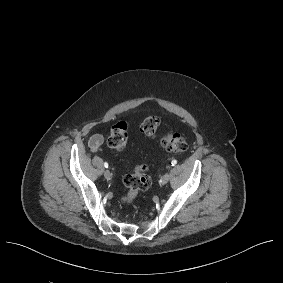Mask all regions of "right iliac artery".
<instances>
[{
  "mask_svg": "<svg viewBox=\"0 0 283 283\" xmlns=\"http://www.w3.org/2000/svg\"><path fill=\"white\" fill-rule=\"evenodd\" d=\"M104 167L108 168V163L107 162L104 163Z\"/></svg>",
  "mask_w": 283,
  "mask_h": 283,
  "instance_id": "82829eb1",
  "label": "right iliac artery"
}]
</instances>
